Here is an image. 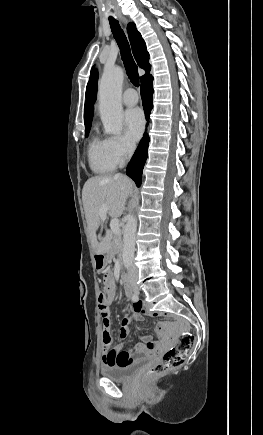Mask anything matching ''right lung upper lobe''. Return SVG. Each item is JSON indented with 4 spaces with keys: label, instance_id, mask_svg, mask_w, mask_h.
Wrapping results in <instances>:
<instances>
[{
    "label": "right lung upper lobe",
    "instance_id": "1",
    "mask_svg": "<svg viewBox=\"0 0 263 435\" xmlns=\"http://www.w3.org/2000/svg\"><path fill=\"white\" fill-rule=\"evenodd\" d=\"M127 31L131 42L133 55L139 67L146 71V74L141 77V80H143L147 75H149V71L151 69V65L149 64V53L147 52L146 44L142 39L141 34L137 31L134 23L130 22L128 24ZM97 80L98 73L95 71L91 86L86 90L87 99L84 106L85 131L90 130L91 127L94 110L93 105L96 101L97 95Z\"/></svg>",
    "mask_w": 263,
    "mask_h": 435
}]
</instances>
